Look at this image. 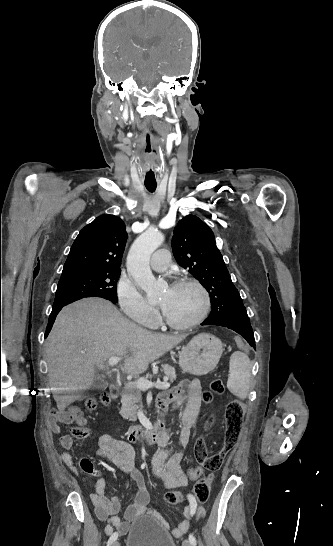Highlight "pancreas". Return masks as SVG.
Returning <instances> with one entry per match:
<instances>
[{
	"label": "pancreas",
	"instance_id": "cf45deb5",
	"mask_svg": "<svg viewBox=\"0 0 333 546\" xmlns=\"http://www.w3.org/2000/svg\"><path fill=\"white\" fill-rule=\"evenodd\" d=\"M164 374L173 382L176 379L175 369L167 364L162 365ZM151 376L147 374L143 379ZM139 378V379H141ZM142 400V390L136 386V381L125 385L122 391L120 414L123 418L135 422L137 420L138 403Z\"/></svg>",
	"mask_w": 333,
	"mask_h": 546
}]
</instances>
